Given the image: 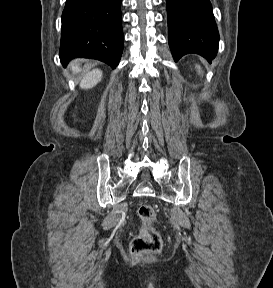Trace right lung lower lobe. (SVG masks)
<instances>
[{"instance_id": "1", "label": "right lung lower lobe", "mask_w": 273, "mask_h": 288, "mask_svg": "<svg viewBox=\"0 0 273 288\" xmlns=\"http://www.w3.org/2000/svg\"><path fill=\"white\" fill-rule=\"evenodd\" d=\"M121 0H66L59 57L63 66L77 57L115 68L123 51Z\"/></svg>"}]
</instances>
